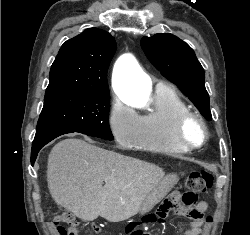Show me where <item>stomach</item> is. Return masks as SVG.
I'll list each match as a JSON object with an SVG mask.
<instances>
[{
  "mask_svg": "<svg viewBox=\"0 0 250 235\" xmlns=\"http://www.w3.org/2000/svg\"><path fill=\"white\" fill-rule=\"evenodd\" d=\"M177 181L178 177L175 174L164 177L143 200L139 210L140 214L152 210L171 191Z\"/></svg>",
  "mask_w": 250,
  "mask_h": 235,
  "instance_id": "stomach-1",
  "label": "stomach"
}]
</instances>
